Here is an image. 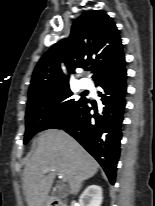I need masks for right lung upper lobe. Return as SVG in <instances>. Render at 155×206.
Segmentation results:
<instances>
[{"label": "right lung upper lobe", "instance_id": "right-lung-upper-lobe-1", "mask_svg": "<svg viewBox=\"0 0 155 206\" xmlns=\"http://www.w3.org/2000/svg\"><path fill=\"white\" fill-rule=\"evenodd\" d=\"M122 48L115 23L107 14L90 11L81 15L73 23L70 37L53 45L38 62L28 96L68 85L61 61L69 71L91 64L93 80L97 81L124 62Z\"/></svg>", "mask_w": 155, "mask_h": 206}]
</instances>
